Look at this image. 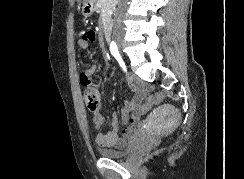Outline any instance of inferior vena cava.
I'll list each match as a JSON object with an SVG mask.
<instances>
[{
    "label": "inferior vena cava",
    "mask_w": 244,
    "mask_h": 179,
    "mask_svg": "<svg viewBox=\"0 0 244 179\" xmlns=\"http://www.w3.org/2000/svg\"><path fill=\"white\" fill-rule=\"evenodd\" d=\"M120 14L121 12H116L115 14L114 32H116V34H118V32H121V30H123Z\"/></svg>",
    "instance_id": "obj_1"
}]
</instances>
